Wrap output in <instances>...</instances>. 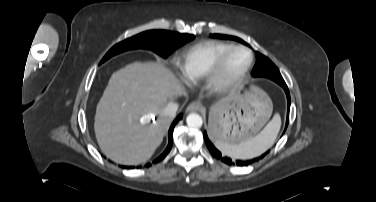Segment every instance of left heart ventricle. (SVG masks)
<instances>
[{"mask_svg":"<svg viewBox=\"0 0 376 202\" xmlns=\"http://www.w3.org/2000/svg\"><path fill=\"white\" fill-rule=\"evenodd\" d=\"M248 60L247 52L237 51L233 53L225 65V75L228 77L237 75L246 66Z\"/></svg>","mask_w":376,"mask_h":202,"instance_id":"1","label":"left heart ventricle"}]
</instances>
